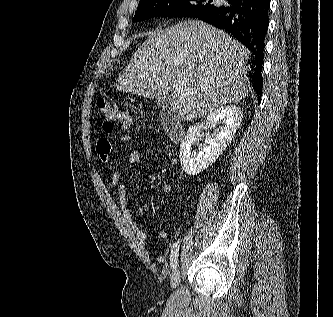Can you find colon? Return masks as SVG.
Returning <instances> with one entry per match:
<instances>
[{
    "label": "colon",
    "instance_id": "5ec220e1",
    "mask_svg": "<svg viewBox=\"0 0 333 317\" xmlns=\"http://www.w3.org/2000/svg\"><path fill=\"white\" fill-rule=\"evenodd\" d=\"M98 107L103 114L102 129L105 133L112 132L115 123L119 124L122 129L130 126L131 115L127 110L115 104L102 103Z\"/></svg>",
    "mask_w": 333,
    "mask_h": 317
}]
</instances>
